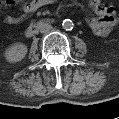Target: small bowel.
<instances>
[{"instance_id":"1","label":"small bowel","mask_w":119,"mask_h":119,"mask_svg":"<svg viewBox=\"0 0 119 119\" xmlns=\"http://www.w3.org/2000/svg\"><path fill=\"white\" fill-rule=\"evenodd\" d=\"M54 0H32L24 4L23 13L18 16L6 15L5 22L9 25H16L21 23L28 15L33 14L40 8L50 5ZM16 4L15 0H6L5 5L12 7ZM91 7L99 16L91 18L88 21V26L92 32L97 36H106L112 26L115 24V9L112 6L105 5L99 0H92Z\"/></svg>"}]
</instances>
